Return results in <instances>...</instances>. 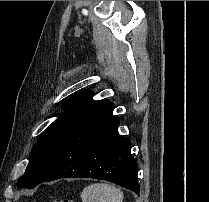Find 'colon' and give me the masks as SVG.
<instances>
[{"instance_id":"colon-1","label":"colon","mask_w":209,"mask_h":202,"mask_svg":"<svg viewBox=\"0 0 209 202\" xmlns=\"http://www.w3.org/2000/svg\"><path fill=\"white\" fill-rule=\"evenodd\" d=\"M53 202H74V201L70 199H65V198H57Z\"/></svg>"}]
</instances>
